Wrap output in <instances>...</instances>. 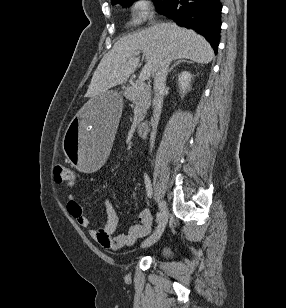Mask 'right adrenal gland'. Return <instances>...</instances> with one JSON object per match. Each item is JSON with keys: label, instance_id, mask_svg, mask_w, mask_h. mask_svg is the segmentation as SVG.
Wrapping results in <instances>:
<instances>
[{"label": "right adrenal gland", "instance_id": "2a0ac1e0", "mask_svg": "<svg viewBox=\"0 0 286 308\" xmlns=\"http://www.w3.org/2000/svg\"><path fill=\"white\" fill-rule=\"evenodd\" d=\"M180 63H193V61H189V60H186V59L179 60V61H177V62L168 70V72L171 73V71H172L177 65H179Z\"/></svg>", "mask_w": 286, "mask_h": 308}]
</instances>
